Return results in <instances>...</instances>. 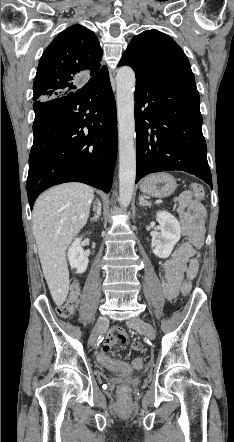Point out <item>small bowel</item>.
<instances>
[{
  "label": "small bowel",
  "mask_w": 234,
  "mask_h": 442,
  "mask_svg": "<svg viewBox=\"0 0 234 442\" xmlns=\"http://www.w3.org/2000/svg\"><path fill=\"white\" fill-rule=\"evenodd\" d=\"M176 210L183 234L188 237L189 242L177 248L163 263L162 286L167 300H173L176 297L184 278L192 280L197 275L199 262L196 251L202 245L206 221L205 208L192 198L190 192H185L180 196ZM125 340L126 336L114 328L108 333L101 350L110 351L115 344ZM133 347L136 350H143L139 341L134 342Z\"/></svg>",
  "instance_id": "1"
}]
</instances>
